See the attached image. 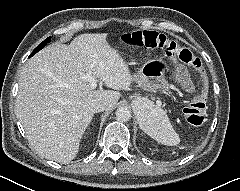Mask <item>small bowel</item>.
Wrapping results in <instances>:
<instances>
[{
  "label": "small bowel",
  "instance_id": "small-bowel-1",
  "mask_svg": "<svg viewBox=\"0 0 240 191\" xmlns=\"http://www.w3.org/2000/svg\"><path fill=\"white\" fill-rule=\"evenodd\" d=\"M183 72H184L183 82H184L187 86H190V81H189V79H188V77H187V73H186L185 70H184Z\"/></svg>",
  "mask_w": 240,
  "mask_h": 191
}]
</instances>
